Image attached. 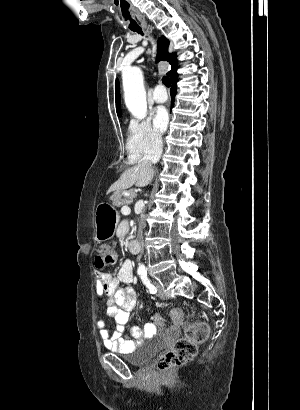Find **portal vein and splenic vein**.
Instances as JSON below:
<instances>
[{"mask_svg": "<svg viewBox=\"0 0 300 410\" xmlns=\"http://www.w3.org/2000/svg\"><path fill=\"white\" fill-rule=\"evenodd\" d=\"M121 211L129 214L130 213V208H129V206L125 205V206L122 207Z\"/></svg>", "mask_w": 300, "mask_h": 410, "instance_id": "1", "label": "portal vein and splenic vein"}]
</instances>
